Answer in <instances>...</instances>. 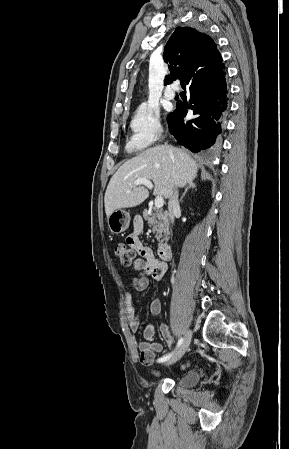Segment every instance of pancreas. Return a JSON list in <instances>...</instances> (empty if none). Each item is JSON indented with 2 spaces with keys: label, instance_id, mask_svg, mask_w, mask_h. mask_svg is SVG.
I'll return each mask as SVG.
<instances>
[{
  "label": "pancreas",
  "instance_id": "obj_1",
  "mask_svg": "<svg viewBox=\"0 0 289 449\" xmlns=\"http://www.w3.org/2000/svg\"><path fill=\"white\" fill-rule=\"evenodd\" d=\"M143 217L153 227L152 230L155 233V238L158 240L159 245L168 240L169 222L165 212L155 210L153 213L152 211L145 210Z\"/></svg>",
  "mask_w": 289,
  "mask_h": 449
}]
</instances>
